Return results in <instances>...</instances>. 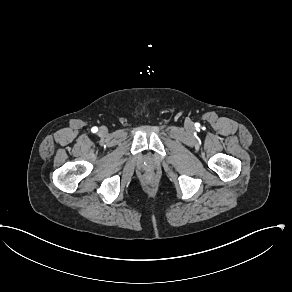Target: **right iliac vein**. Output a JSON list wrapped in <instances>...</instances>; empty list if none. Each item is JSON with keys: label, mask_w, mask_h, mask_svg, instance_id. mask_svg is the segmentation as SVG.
Masks as SVG:
<instances>
[{"label": "right iliac vein", "mask_w": 292, "mask_h": 292, "mask_svg": "<svg viewBox=\"0 0 292 292\" xmlns=\"http://www.w3.org/2000/svg\"><path fill=\"white\" fill-rule=\"evenodd\" d=\"M108 133V129L105 126L99 128L98 134L102 137L106 136Z\"/></svg>", "instance_id": "right-iliac-vein-1"}]
</instances>
